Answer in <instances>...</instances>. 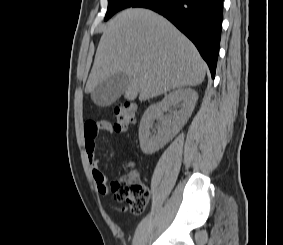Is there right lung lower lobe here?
Masks as SVG:
<instances>
[{
    "mask_svg": "<svg viewBox=\"0 0 283 245\" xmlns=\"http://www.w3.org/2000/svg\"><path fill=\"white\" fill-rule=\"evenodd\" d=\"M131 7L148 8L170 20L195 44L214 78L223 0H139Z\"/></svg>",
    "mask_w": 283,
    "mask_h": 245,
    "instance_id": "obj_1",
    "label": "right lung lower lobe"
}]
</instances>
